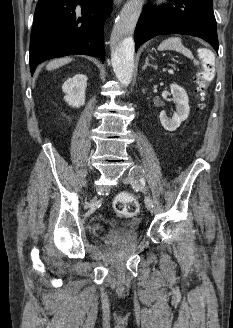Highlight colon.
Masks as SVG:
<instances>
[{
    "label": "colon",
    "mask_w": 233,
    "mask_h": 328,
    "mask_svg": "<svg viewBox=\"0 0 233 328\" xmlns=\"http://www.w3.org/2000/svg\"><path fill=\"white\" fill-rule=\"evenodd\" d=\"M199 57L202 62L201 70L196 76L195 92L200 101L206 98V89L214 77L215 60L209 50H201ZM138 200L128 193L119 194L114 201V210L121 216L132 217L139 212Z\"/></svg>",
    "instance_id": "1"
}]
</instances>
